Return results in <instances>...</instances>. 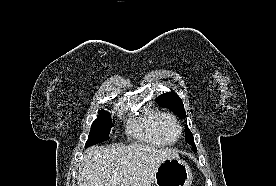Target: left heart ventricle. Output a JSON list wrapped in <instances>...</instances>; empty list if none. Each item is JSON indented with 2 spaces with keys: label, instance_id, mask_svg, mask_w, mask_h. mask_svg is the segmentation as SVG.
<instances>
[{
  "label": "left heart ventricle",
  "instance_id": "obj_1",
  "mask_svg": "<svg viewBox=\"0 0 276 186\" xmlns=\"http://www.w3.org/2000/svg\"><path fill=\"white\" fill-rule=\"evenodd\" d=\"M164 130L167 137L171 140H175L178 136V128L172 121H167L164 125Z\"/></svg>",
  "mask_w": 276,
  "mask_h": 186
}]
</instances>
